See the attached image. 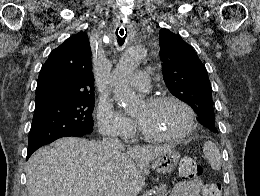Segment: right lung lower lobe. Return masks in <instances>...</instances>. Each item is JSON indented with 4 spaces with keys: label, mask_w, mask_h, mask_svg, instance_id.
Listing matches in <instances>:
<instances>
[{
    "label": "right lung lower lobe",
    "mask_w": 260,
    "mask_h": 196,
    "mask_svg": "<svg viewBox=\"0 0 260 196\" xmlns=\"http://www.w3.org/2000/svg\"><path fill=\"white\" fill-rule=\"evenodd\" d=\"M84 135H79V136H76V137H83ZM35 150H28L27 152V159L30 157V155L34 152Z\"/></svg>",
    "instance_id": "right-lung-lower-lobe-1"
}]
</instances>
